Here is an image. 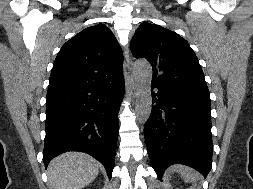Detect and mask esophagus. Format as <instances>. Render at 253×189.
I'll return each instance as SVG.
<instances>
[{"label": "esophagus", "instance_id": "1", "mask_svg": "<svg viewBox=\"0 0 253 189\" xmlns=\"http://www.w3.org/2000/svg\"><path fill=\"white\" fill-rule=\"evenodd\" d=\"M126 53H128V51H126ZM126 60H127L128 63L130 62L128 54L126 55Z\"/></svg>", "mask_w": 253, "mask_h": 189}]
</instances>
